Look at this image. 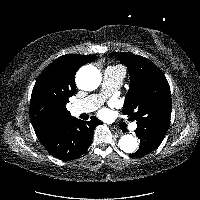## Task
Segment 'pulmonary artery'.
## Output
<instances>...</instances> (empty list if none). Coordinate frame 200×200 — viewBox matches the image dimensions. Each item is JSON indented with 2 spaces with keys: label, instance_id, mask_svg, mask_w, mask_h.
<instances>
[{
  "label": "pulmonary artery",
  "instance_id": "1",
  "mask_svg": "<svg viewBox=\"0 0 200 200\" xmlns=\"http://www.w3.org/2000/svg\"><path fill=\"white\" fill-rule=\"evenodd\" d=\"M125 72L123 69L108 67L103 72L102 90L99 94L90 95L72 106L74 114L90 113L96 110L105 100V98L115 93L122 85ZM136 124L131 125L132 129L136 128Z\"/></svg>",
  "mask_w": 200,
  "mask_h": 200
}]
</instances>
